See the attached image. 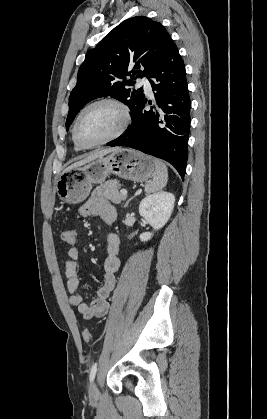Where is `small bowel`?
Here are the masks:
<instances>
[{
  "label": "small bowel",
  "instance_id": "1",
  "mask_svg": "<svg viewBox=\"0 0 267 419\" xmlns=\"http://www.w3.org/2000/svg\"><path fill=\"white\" fill-rule=\"evenodd\" d=\"M83 217L99 216L105 224L111 225L117 213L113 205L104 198L92 197L87 200L79 210ZM119 238L110 234L107 238V257L104 261L103 284L96 292V298L87 303L80 293L81 278L78 273L77 263L79 252L76 246L70 245L65 258V275L67 289L70 293L69 303L77 307L78 312L86 320L104 316L108 309V298L116 285V273L120 268Z\"/></svg>",
  "mask_w": 267,
  "mask_h": 419
}]
</instances>
